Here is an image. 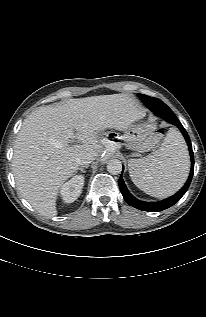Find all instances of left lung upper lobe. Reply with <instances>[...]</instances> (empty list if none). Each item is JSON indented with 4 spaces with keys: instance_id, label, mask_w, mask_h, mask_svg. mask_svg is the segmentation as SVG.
<instances>
[{
    "instance_id": "5c2ea615",
    "label": "left lung upper lobe",
    "mask_w": 206,
    "mask_h": 317,
    "mask_svg": "<svg viewBox=\"0 0 206 317\" xmlns=\"http://www.w3.org/2000/svg\"><path fill=\"white\" fill-rule=\"evenodd\" d=\"M139 98L144 102V104L148 107V103L147 102H152L155 103L157 105H160L162 107H168L165 103H163L161 100L157 99V98H153L144 94H138Z\"/></svg>"
}]
</instances>
